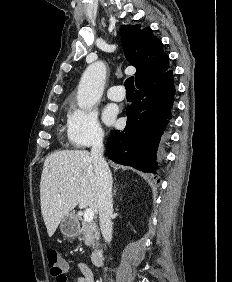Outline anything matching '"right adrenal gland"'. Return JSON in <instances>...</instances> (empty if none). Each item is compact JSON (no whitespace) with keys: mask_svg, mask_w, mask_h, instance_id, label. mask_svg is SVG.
<instances>
[{"mask_svg":"<svg viewBox=\"0 0 232 282\" xmlns=\"http://www.w3.org/2000/svg\"><path fill=\"white\" fill-rule=\"evenodd\" d=\"M113 195L115 196L116 195V189L114 188V191H113Z\"/></svg>","mask_w":232,"mask_h":282,"instance_id":"obj_1","label":"right adrenal gland"}]
</instances>
